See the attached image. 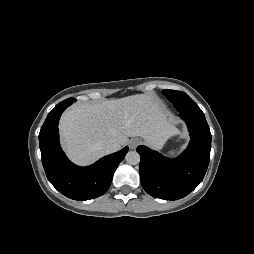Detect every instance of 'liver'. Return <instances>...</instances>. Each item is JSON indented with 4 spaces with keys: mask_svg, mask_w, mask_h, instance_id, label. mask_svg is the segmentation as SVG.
<instances>
[{
    "mask_svg": "<svg viewBox=\"0 0 254 254\" xmlns=\"http://www.w3.org/2000/svg\"><path fill=\"white\" fill-rule=\"evenodd\" d=\"M60 132L69 158L85 165L104 156V147L111 141L121 147L128 137H142L159 147L177 130L155 95L137 94L97 104H75L63 114Z\"/></svg>",
    "mask_w": 254,
    "mask_h": 254,
    "instance_id": "6515ba94",
    "label": "liver"
}]
</instances>
